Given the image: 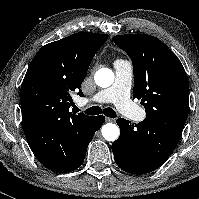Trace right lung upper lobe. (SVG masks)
<instances>
[{
	"label": "right lung upper lobe",
	"mask_w": 199,
	"mask_h": 199,
	"mask_svg": "<svg viewBox=\"0 0 199 199\" xmlns=\"http://www.w3.org/2000/svg\"><path fill=\"white\" fill-rule=\"evenodd\" d=\"M107 34L79 32L43 46L20 90L24 133L36 131L58 153L69 135L93 116L69 112L71 94L80 90L89 65Z\"/></svg>",
	"instance_id": "right-lung-upper-lobe-1"
}]
</instances>
